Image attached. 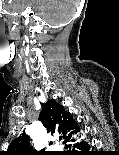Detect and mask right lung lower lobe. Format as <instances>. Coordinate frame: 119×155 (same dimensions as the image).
Wrapping results in <instances>:
<instances>
[{"instance_id":"98d812e1","label":"right lung lower lobe","mask_w":119,"mask_h":155,"mask_svg":"<svg viewBox=\"0 0 119 155\" xmlns=\"http://www.w3.org/2000/svg\"><path fill=\"white\" fill-rule=\"evenodd\" d=\"M78 131L79 129H77L74 133ZM65 143H69V145H67L66 148L72 147L73 150L69 149L67 153H64V155H94V152L92 150H89V144H87L85 141L77 142L72 137V135L65 141ZM75 148L78 150L75 151Z\"/></svg>"}]
</instances>
